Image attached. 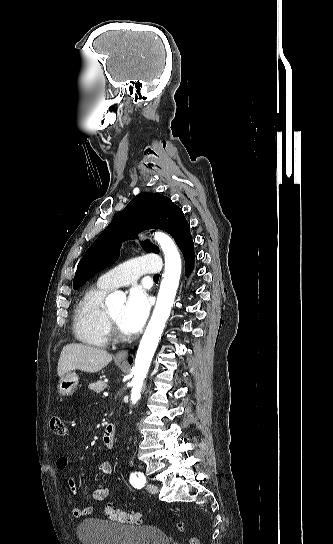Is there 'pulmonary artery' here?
Returning <instances> with one entry per match:
<instances>
[{"label": "pulmonary artery", "instance_id": "e3ab8cb5", "mask_svg": "<svg viewBox=\"0 0 333 544\" xmlns=\"http://www.w3.org/2000/svg\"><path fill=\"white\" fill-rule=\"evenodd\" d=\"M161 268L159 256H139L107 271L99 278L98 282L108 289H114L136 281L143 274H157Z\"/></svg>", "mask_w": 333, "mask_h": 544}]
</instances>
